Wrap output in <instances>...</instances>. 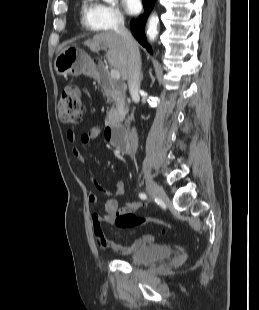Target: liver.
Segmentation results:
<instances>
[{"instance_id":"liver-1","label":"liver","mask_w":259,"mask_h":310,"mask_svg":"<svg viewBox=\"0 0 259 310\" xmlns=\"http://www.w3.org/2000/svg\"><path fill=\"white\" fill-rule=\"evenodd\" d=\"M84 45L88 46L93 52H98L100 49L108 48L106 56L109 65L120 72L122 80L125 81L128 79L129 53L119 34L116 32L96 34L93 38L86 40Z\"/></svg>"}]
</instances>
